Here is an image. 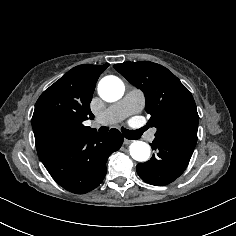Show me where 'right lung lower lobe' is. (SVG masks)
<instances>
[{
    "label": "right lung lower lobe",
    "instance_id": "98d812e1",
    "mask_svg": "<svg viewBox=\"0 0 236 236\" xmlns=\"http://www.w3.org/2000/svg\"><path fill=\"white\" fill-rule=\"evenodd\" d=\"M123 136L117 129L101 135L92 131L69 136L37 150L52 178L66 190L83 194L96 188L106 175V161L119 150Z\"/></svg>",
    "mask_w": 236,
    "mask_h": 236
}]
</instances>
